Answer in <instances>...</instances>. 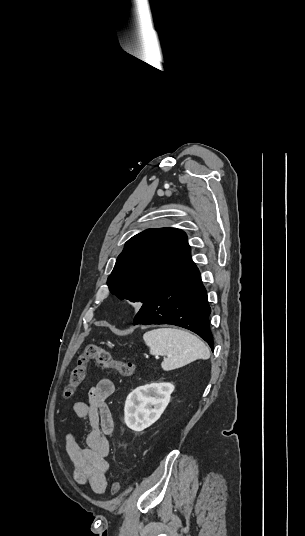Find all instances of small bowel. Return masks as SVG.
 <instances>
[{
  "label": "small bowel",
  "instance_id": "obj_1",
  "mask_svg": "<svg viewBox=\"0 0 305 536\" xmlns=\"http://www.w3.org/2000/svg\"><path fill=\"white\" fill-rule=\"evenodd\" d=\"M114 390L111 380L102 379L90 389L87 402L78 401L73 406L76 416L87 419L91 427L86 447L79 445L73 432L66 435V451L73 462L76 481L88 484L97 494L104 493L107 487L106 457L110 452L107 436L113 430V421L106 400Z\"/></svg>",
  "mask_w": 305,
  "mask_h": 536
}]
</instances>
